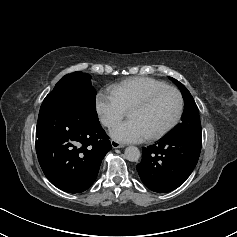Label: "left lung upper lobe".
<instances>
[{
  "label": "left lung upper lobe",
  "instance_id": "left-lung-upper-lobe-1",
  "mask_svg": "<svg viewBox=\"0 0 237 237\" xmlns=\"http://www.w3.org/2000/svg\"><path fill=\"white\" fill-rule=\"evenodd\" d=\"M181 90L184 99L182 122L179 123L167 137H177L186 134H202L198 107L187 88L174 78H170Z\"/></svg>",
  "mask_w": 237,
  "mask_h": 237
}]
</instances>
